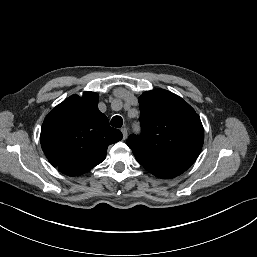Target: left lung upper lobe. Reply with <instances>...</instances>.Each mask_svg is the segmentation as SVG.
<instances>
[{
  "instance_id": "1",
  "label": "left lung upper lobe",
  "mask_w": 257,
  "mask_h": 257,
  "mask_svg": "<svg viewBox=\"0 0 257 257\" xmlns=\"http://www.w3.org/2000/svg\"><path fill=\"white\" fill-rule=\"evenodd\" d=\"M138 100L142 134L127 139L136 160L149 172L183 173L203 146L200 117L181 97L167 90L147 91Z\"/></svg>"
}]
</instances>
